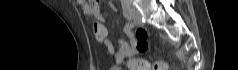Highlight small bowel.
I'll list each match as a JSON object with an SVG mask.
<instances>
[{"label":"small bowel","mask_w":238,"mask_h":70,"mask_svg":"<svg viewBox=\"0 0 238 70\" xmlns=\"http://www.w3.org/2000/svg\"><path fill=\"white\" fill-rule=\"evenodd\" d=\"M78 4L81 6L84 15L95 18L99 21H103V16L100 13L97 2H88L86 0H78ZM125 33L130 37V42L120 41L118 47L115 48L110 41L106 38L107 30L99 23L94 24V34L98 41L105 44L109 52L115 57V61L120 63L123 59H117V54H124V58L136 55L139 50L136 47V38L133 33V25L128 24L124 28Z\"/></svg>","instance_id":"1"}]
</instances>
